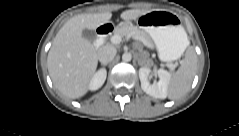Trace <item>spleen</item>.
Wrapping results in <instances>:
<instances>
[{
    "label": "spleen",
    "instance_id": "obj_1",
    "mask_svg": "<svg viewBox=\"0 0 239 136\" xmlns=\"http://www.w3.org/2000/svg\"><path fill=\"white\" fill-rule=\"evenodd\" d=\"M187 39V46L189 45ZM197 57L193 49H189L181 67L172 76L168 88V97L170 99H179L189 90L196 71Z\"/></svg>",
    "mask_w": 239,
    "mask_h": 136
}]
</instances>
